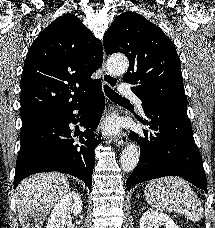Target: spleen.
<instances>
[{"label": "spleen", "instance_id": "1", "mask_svg": "<svg viewBox=\"0 0 215 228\" xmlns=\"http://www.w3.org/2000/svg\"><path fill=\"white\" fill-rule=\"evenodd\" d=\"M147 204L162 212H178L190 222H199L203 218V208L188 182L168 176L151 180L144 188Z\"/></svg>", "mask_w": 215, "mask_h": 228}]
</instances>
